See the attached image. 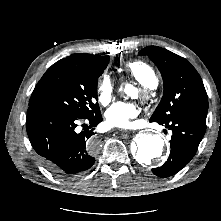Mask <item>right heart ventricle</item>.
<instances>
[{"mask_svg": "<svg viewBox=\"0 0 221 221\" xmlns=\"http://www.w3.org/2000/svg\"><path fill=\"white\" fill-rule=\"evenodd\" d=\"M124 70L130 77L136 79L144 86L151 87L154 83H157L155 72L150 65L144 61H130L125 64Z\"/></svg>", "mask_w": 221, "mask_h": 221, "instance_id": "obj_1", "label": "right heart ventricle"}]
</instances>
